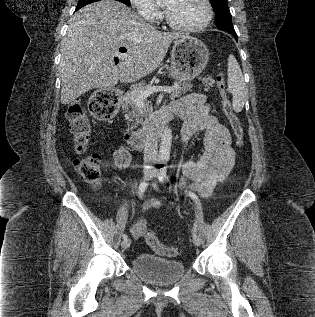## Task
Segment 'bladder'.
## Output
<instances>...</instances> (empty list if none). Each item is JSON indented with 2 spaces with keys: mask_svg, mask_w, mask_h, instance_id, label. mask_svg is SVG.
Here are the masks:
<instances>
[{
  "mask_svg": "<svg viewBox=\"0 0 315 317\" xmlns=\"http://www.w3.org/2000/svg\"><path fill=\"white\" fill-rule=\"evenodd\" d=\"M131 268L146 281L157 285L175 282L185 273V266L181 261L149 253L136 255L131 260Z\"/></svg>",
  "mask_w": 315,
  "mask_h": 317,
  "instance_id": "obj_1",
  "label": "bladder"
}]
</instances>
